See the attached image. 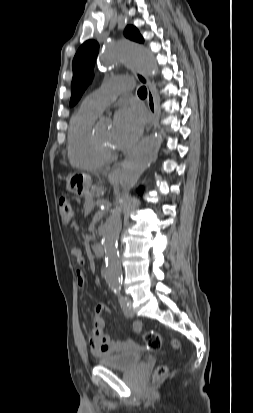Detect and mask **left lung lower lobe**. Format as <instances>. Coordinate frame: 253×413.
Returning a JSON list of instances; mask_svg holds the SVG:
<instances>
[{
    "label": "left lung lower lobe",
    "mask_w": 253,
    "mask_h": 413,
    "mask_svg": "<svg viewBox=\"0 0 253 413\" xmlns=\"http://www.w3.org/2000/svg\"><path fill=\"white\" fill-rule=\"evenodd\" d=\"M139 194H142V189H139Z\"/></svg>",
    "instance_id": "0a47b994"
}]
</instances>
